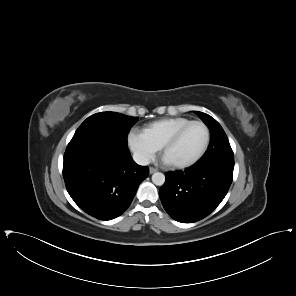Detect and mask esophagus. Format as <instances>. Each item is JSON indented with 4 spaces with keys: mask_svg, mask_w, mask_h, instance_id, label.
Returning <instances> with one entry per match:
<instances>
[{
    "mask_svg": "<svg viewBox=\"0 0 296 296\" xmlns=\"http://www.w3.org/2000/svg\"><path fill=\"white\" fill-rule=\"evenodd\" d=\"M156 171H157V169L154 168V167H150V168H149V172H150V174H153V173H155Z\"/></svg>",
    "mask_w": 296,
    "mask_h": 296,
    "instance_id": "34e87169",
    "label": "esophagus"
}]
</instances>
